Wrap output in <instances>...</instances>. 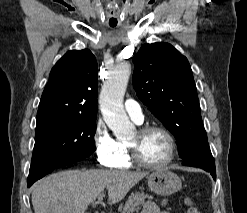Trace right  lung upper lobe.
Segmentation results:
<instances>
[{"instance_id":"1","label":"right lung upper lobe","mask_w":247,"mask_h":213,"mask_svg":"<svg viewBox=\"0 0 247 213\" xmlns=\"http://www.w3.org/2000/svg\"><path fill=\"white\" fill-rule=\"evenodd\" d=\"M98 65L90 50L68 51L52 68L37 118H96Z\"/></svg>"}]
</instances>
